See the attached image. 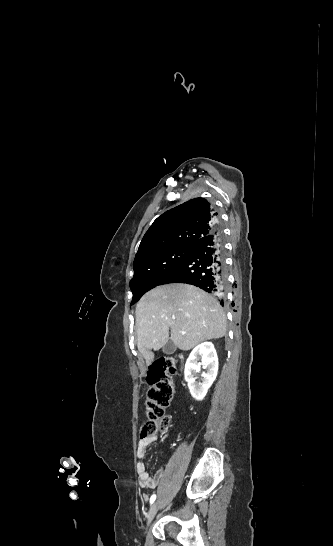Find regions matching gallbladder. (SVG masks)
I'll return each instance as SVG.
<instances>
[{"instance_id":"bac80fb5","label":"gallbladder","mask_w":333,"mask_h":546,"mask_svg":"<svg viewBox=\"0 0 333 546\" xmlns=\"http://www.w3.org/2000/svg\"><path fill=\"white\" fill-rule=\"evenodd\" d=\"M164 354L170 355L176 351V345L173 341L169 340L162 348Z\"/></svg>"}]
</instances>
